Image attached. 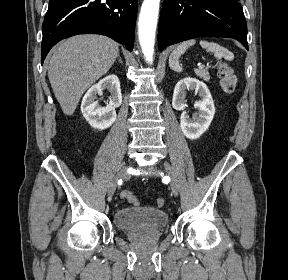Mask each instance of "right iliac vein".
Returning a JSON list of instances; mask_svg holds the SVG:
<instances>
[{"label":"right iliac vein","instance_id":"obj_1","mask_svg":"<svg viewBox=\"0 0 288 280\" xmlns=\"http://www.w3.org/2000/svg\"><path fill=\"white\" fill-rule=\"evenodd\" d=\"M127 173H126V168L123 167L122 169H120L117 173V175L114 177V179L111 181V183L108 186V195L112 196L117 188V183L119 181V179H124L126 177Z\"/></svg>","mask_w":288,"mask_h":280}]
</instances>
